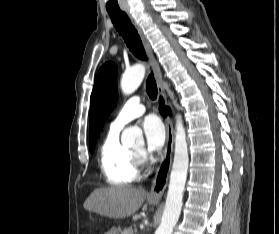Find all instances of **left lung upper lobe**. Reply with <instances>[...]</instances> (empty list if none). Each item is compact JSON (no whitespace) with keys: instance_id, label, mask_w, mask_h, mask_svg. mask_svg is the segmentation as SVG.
Segmentation results:
<instances>
[{"instance_id":"1","label":"left lung upper lobe","mask_w":279,"mask_h":234,"mask_svg":"<svg viewBox=\"0 0 279 234\" xmlns=\"http://www.w3.org/2000/svg\"><path fill=\"white\" fill-rule=\"evenodd\" d=\"M117 67L105 63L98 71L90 103V152L93 151L102 127L114 109L117 97Z\"/></svg>"}]
</instances>
